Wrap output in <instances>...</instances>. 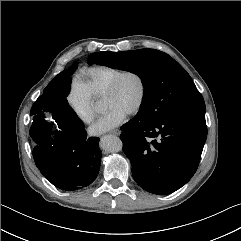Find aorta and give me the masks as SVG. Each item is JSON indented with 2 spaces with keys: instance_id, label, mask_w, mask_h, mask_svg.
<instances>
[{
  "instance_id": "1",
  "label": "aorta",
  "mask_w": 241,
  "mask_h": 241,
  "mask_svg": "<svg viewBox=\"0 0 241 241\" xmlns=\"http://www.w3.org/2000/svg\"><path fill=\"white\" fill-rule=\"evenodd\" d=\"M100 146L103 150L114 153L122 150V141L113 135H106L102 137Z\"/></svg>"
}]
</instances>
